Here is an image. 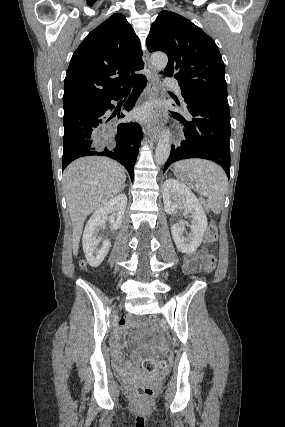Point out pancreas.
Returning <instances> with one entry per match:
<instances>
[{"label": "pancreas", "instance_id": "pancreas-1", "mask_svg": "<svg viewBox=\"0 0 285 427\" xmlns=\"http://www.w3.org/2000/svg\"><path fill=\"white\" fill-rule=\"evenodd\" d=\"M201 201L204 204L205 208L208 209L207 206H206V204H205V201L204 200H201Z\"/></svg>", "mask_w": 285, "mask_h": 427}]
</instances>
